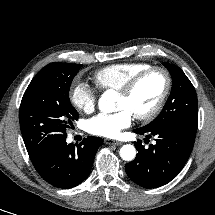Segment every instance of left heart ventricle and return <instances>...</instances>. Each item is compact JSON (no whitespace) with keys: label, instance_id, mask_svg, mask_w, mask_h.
Segmentation results:
<instances>
[{"label":"left heart ventricle","instance_id":"obj_1","mask_svg":"<svg viewBox=\"0 0 215 215\" xmlns=\"http://www.w3.org/2000/svg\"><path fill=\"white\" fill-rule=\"evenodd\" d=\"M165 85L161 73H152L146 77L128 97L119 94L117 109H128L133 115L148 112L157 103Z\"/></svg>","mask_w":215,"mask_h":215}]
</instances>
